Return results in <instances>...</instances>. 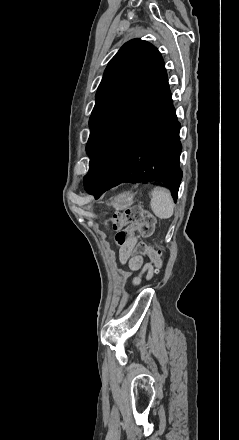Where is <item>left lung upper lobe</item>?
Segmentation results:
<instances>
[{
	"mask_svg": "<svg viewBox=\"0 0 239 440\" xmlns=\"http://www.w3.org/2000/svg\"><path fill=\"white\" fill-rule=\"evenodd\" d=\"M164 61L152 44L140 39L125 43L105 69L89 120L86 151L91 157L106 133L143 96L164 70Z\"/></svg>",
	"mask_w": 239,
	"mask_h": 440,
	"instance_id": "left-lung-upper-lobe-1",
	"label": "left lung upper lobe"
}]
</instances>
